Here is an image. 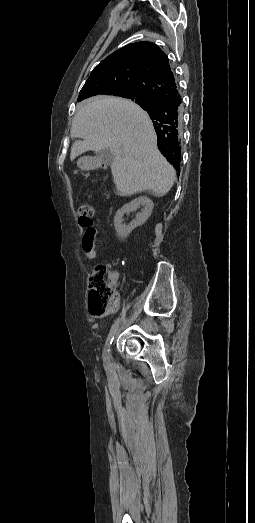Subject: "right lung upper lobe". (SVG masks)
Here are the masks:
<instances>
[{
    "label": "right lung upper lobe",
    "mask_w": 255,
    "mask_h": 523,
    "mask_svg": "<svg viewBox=\"0 0 255 523\" xmlns=\"http://www.w3.org/2000/svg\"><path fill=\"white\" fill-rule=\"evenodd\" d=\"M127 90L147 93L154 100L152 108L165 101L177 100L182 103L166 54L151 42L132 43L109 55L91 72L77 101L116 96ZM136 103L142 107L141 102ZM152 108L143 109L150 116ZM151 120L157 134L158 148L178 171L181 161V109L159 120Z\"/></svg>",
    "instance_id": "cb5924a9"
}]
</instances>
